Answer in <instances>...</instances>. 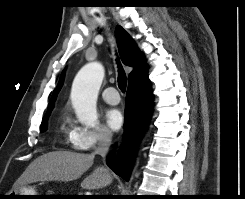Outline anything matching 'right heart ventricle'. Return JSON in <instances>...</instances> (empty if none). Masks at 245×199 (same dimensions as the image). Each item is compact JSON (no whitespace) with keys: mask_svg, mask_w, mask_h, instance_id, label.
<instances>
[{"mask_svg":"<svg viewBox=\"0 0 245 199\" xmlns=\"http://www.w3.org/2000/svg\"><path fill=\"white\" fill-rule=\"evenodd\" d=\"M60 127H61V130L67 134V136L71 137V133H72V129H73V126H72V123H71V120L69 118V116L67 115H64L62 117V120H61V123H60Z\"/></svg>","mask_w":245,"mask_h":199,"instance_id":"right-heart-ventricle-1","label":"right heart ventricle"}]
</instances>
